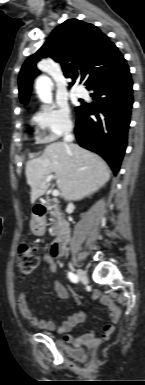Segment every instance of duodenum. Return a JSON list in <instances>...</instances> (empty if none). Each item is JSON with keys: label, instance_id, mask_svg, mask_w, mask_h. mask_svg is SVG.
I'll return each instance as SVG.
<instances>
[{"label": "duodenum", "instance_id": "1", "mask_svg": "<svg viewBox=\"0 0 145 385\" xmlns=\"http://www.w3.org/2000/svg\"><path fill=\"white\" fill-rule=\"evenodd\" d=\"M48 206L46 204H38L35 208L34 214V224L39 228V233L44 232L45 222L44 218L48 211ZM70 239V227L69 224L65 221H62L59 226V232L55 240L51 245V253L53 256H60L63 254L66 245Z\"/></svg>", "mask_w": 145, "mask_h": 385}]
</instances>
